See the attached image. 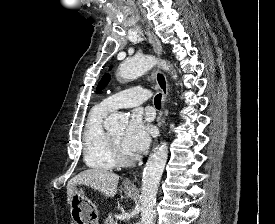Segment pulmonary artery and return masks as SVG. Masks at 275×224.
Listing matches in <instances>:
<instances>
[{
	"label": "pulmonary artery",
	"mask_w": 275,
	"mask_h": 224,
	"mask_svg": "<svg viewBox=\"0 0 275 224\" xmlns=\"http://www.w3.org/2000/svg\"><path fill=\"white\" fill-rule=\"evenodd\" d=\"M149 96V91L145 88L132 87L105 98L100 106L108 112L120 107H136L144 104Z\"/></svg>",
	"instance_id": "1"
}]
</instances>
